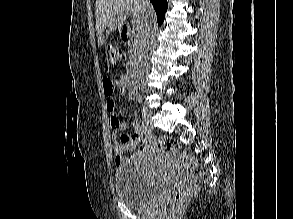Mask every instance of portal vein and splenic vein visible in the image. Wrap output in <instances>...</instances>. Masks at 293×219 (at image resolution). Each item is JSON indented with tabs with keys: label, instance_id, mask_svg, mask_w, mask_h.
I'll return each mask as SVG.
<instances>
[{
	"label": "portal vein and splenic vein",
	"instance_id": "obj_1",
	"mask_svg": "<svg viewBox=\"0 0 293 219\" xmlns=\"http://www.w3.org/2000/svg\"><path fill=\"white\" fill-rule=\"evenodd\" d=\"M133 29H135V30L137 29L135 25H133Z\"/></svg>",
	"mask_w": 293,
	"mask_h": 219
}]
</instances>
